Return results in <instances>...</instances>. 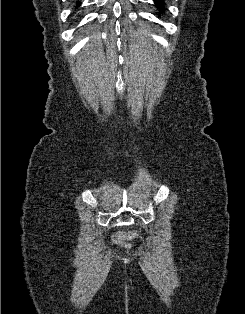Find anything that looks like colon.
Instances as JSON below:
<instances>
[{
  "label": "colon",
  "instance_id": "obj_1",
  "mask_svg": "<svg viewBox=\"0 0 245 314\" xmlns=\"http://www.w3.org/2000/svg\"><path fill=\"white\" fill-rule=\"evenodd\" d=\"M138 237L136 232H124V233H117L113 236V240L116 244L119 245H126L131 240Z\"/></svg>",
  "mask_w": 245,
  "mask_h": 314
}]
</instances>
